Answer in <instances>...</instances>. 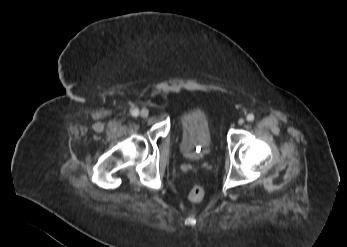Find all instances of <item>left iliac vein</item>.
I'll list each match as a JSON object with an SVG mask.
<instances>
[{
  "mask_svg": "<svg viewBox=\"0 0 347 247\" xmlns=\"http://www.w3.org/2000/svg\"><path fill=\"white\" fill-rule=\"evenodd\" d=\"M244 123V119L243 118H240L239 120H238V124L239 125H242Z\"/></svg>",
  "mask_w": 347,
  "mask_h": 247,
  "instance_id": "obj_1",
  "label": "left iliac vein"
}]
</instances>
